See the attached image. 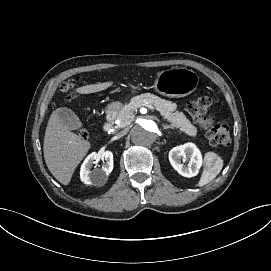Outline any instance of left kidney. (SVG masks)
Instances as JSON below:
<instances>
[{
  "instance_id": "1",
  "label": "left kidney",
  "mask_w": 271,
  "mask_h": 271,
  "mask_svg": "<svg viewBox=\"0 0 271 271\" xmlns=\"http://www.w3.org/2000/svg\"><path fill=\"white\" fill-rule=\"evenodd\" d=\"M169 161L178 174L186 178H191L197 175L200 168V152L194 144L187 143L173 148L169 152ZM185 162H188V165H185Z\"/></svg>"
}]
</instances>
